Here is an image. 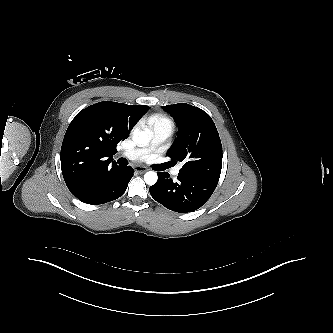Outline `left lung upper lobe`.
Segmentation results:
<instances>
[{
  "label": "left lung upper lobe",
  "mask_w": 333,
  "mask_h": 333,
  "mask_svg": "<svg viewBox=\"0 0 333 333\" xmlns=\"http://www.w3.org/2000/svg\"><path fill=\"white\" fill-rule=\"evenodd\" d=\"M175 120L178 134L167 152L183 163L179 174L218 182L222 168V144L212 118L202 109L179 103L163 106Z\"/></svg>",
  "instance_id": "1"
}]
</instances>
